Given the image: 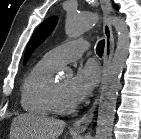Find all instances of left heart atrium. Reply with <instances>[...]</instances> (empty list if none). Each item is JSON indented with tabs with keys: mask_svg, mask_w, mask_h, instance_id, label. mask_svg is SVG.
I'll list each match as a JSON object with an SVG mask.
<instances>
[{
	"mask_svg": "<svg viewBox=\"0 0 141 139\" xmlns=\"http://www.w3.org/2000/svg\"><path fill=\"white\" fill-rule=\"evenodd\" d=\"M99 81V71L94 64L81 67L71 81L70 96L74 103L83 102Z\"/></svg>",
	"mask_w": 141,
	"mask_h": 139,
	"instance_id": "obj_1",
	"label": "left heart atrium"
}]
</instances>
